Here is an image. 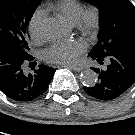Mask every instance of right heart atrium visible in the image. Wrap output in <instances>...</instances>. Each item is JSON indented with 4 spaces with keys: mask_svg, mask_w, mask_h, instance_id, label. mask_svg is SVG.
I'll list each match as a JSON object with an SVG mask.
<instances>
[{
    "mask_svg": "<svg viewBox=\"0 0 135 135\" xmlns=\"http://www.w3.org/2000/svg\"><path fill=\"white\" fill-rule=\"evenodd\" d=\"M45 12L42 9H37L31 15L28 22V31L30 37L34 41H38L42 37V24L44 21Z\"/></svg>",
    "mask_w": 135,
    "mask_h": 135,
    "instance_id": "right-heart-atrium-1",
    "label": "right heart atrium"
}]
</instances>
